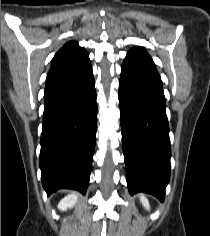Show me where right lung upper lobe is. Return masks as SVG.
I'll return each mask as SVG.
<instances>
[{
  "instance_id": "cb5924a9",
  "label": "right lung upper lobe",
  "mask_w": 210,
  "mask_h": 236,
  "mask_svg": "<svg viewBox=\"0 0 210 236\" xmlns=\"http://www.w3.org/2000/svg\"><path fill=\"white\" fill-rule=\"evenodd\" d=\"M88 63H90V60L87 51L81 48L75 41L68 42L52 59L47 80L67 74Z\"/></svg>"
}]
</instances>
